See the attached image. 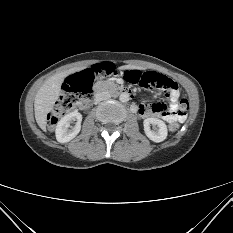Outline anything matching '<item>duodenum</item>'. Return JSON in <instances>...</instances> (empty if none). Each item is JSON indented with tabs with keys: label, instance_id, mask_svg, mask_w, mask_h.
Instances as JSON below:
<instances>
[{
	"label": "duodenum",
	"instance_id": "410a0bca",
	"mask_svg": "<svg viewBox=\"0 0 233 233\" xmlns=\"http://www.w3.org/2000/svg\"><path fill=\"white\" fill-rule=\"evenodd\" d=\"M98 92H111L113 94H129V92L122 85L114 83H99L96 86L95 93Z\"/></svg>",
	"mask_w": 233,
	"mask_h": 233
}]
</instances>
